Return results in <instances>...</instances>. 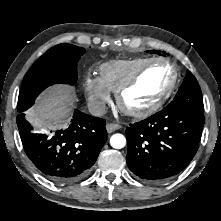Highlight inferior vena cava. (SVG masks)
I'll list each match as a JSON object with an SVG mask.
<instances>
[{"label":"inferior vena cava","instance_id":"inferior-vena-cava-1","mask_svg":"<svg viewBox=\"0 0 221 221\" xmlns=\"http://www.w3.org/2000/svg\"><path fill=\"white\" fill-rule=\"evenodd\" d=\"M88 110L91 115L100 117L103 116L106 112V105L103 101L96 100L88 103Z\"/></svg>","mask_w":221,"mask_h":221}]
</instances>
